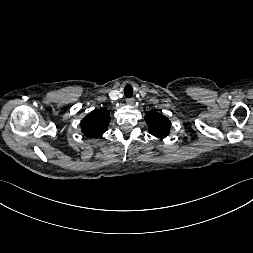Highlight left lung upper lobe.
<instances>
[{
  "mask_svg": "<svg viewBox=\"0 0 253 253\" xmlns=\"http://www.w3.org/2000/svg\"><path fill=\"white\" fill-rule=\"evenodd\" d=\"M149 126V133L158 138H165L169 134L171 123L164 115L150 111L145 116Z\"/></svg>",
  "mask_w": 253,
  "mask_h": 253,
  "instance_id": "1",
  "label": "left lung upper lobe"
}]
</instances>
